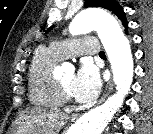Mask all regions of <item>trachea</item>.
Returning <instances> with one entry per match:
<instances>
[{
  "mask_svg": "<svg viewBox=\"0 0 153 134\" xmlns=\"http://www.w3.org/2000/svg\"><path fill=\"white\" fill-rule=\"evenodd\" d=\"M99 56H105V53H104L103 51H101V52L99 53Z\"/></svg>",
  "mask_w": 153,
  "mask_h": 134,
  "instance_id": "trachea-1",
  "label": "trachea"
}]
</instances>
